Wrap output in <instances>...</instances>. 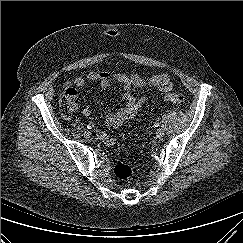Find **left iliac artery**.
Masks as SVG:
<instances>
[{"mask_svg": "<svg viewBox=\"0 0 243 243\" xmlns=\"http://www.w3.org/2000/svg\"><path fill=\"white\" fill-rule=\"evenodd\" d=\"M155 127H159V123H155V125H154Z\"/></svg>", "mask_w": 243, "mask_h": 243, "instance_id": "left-iliac-artery-1", "label": "left iliac artery"}]
</instances>
